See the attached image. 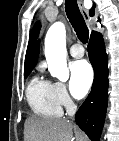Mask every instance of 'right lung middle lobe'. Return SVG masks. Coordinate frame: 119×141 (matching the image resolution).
I'll return each instance as SVG.
<instances>
[{"label":"right lung middle lobe","instance_id":"obj_1","mask_svg":"<svg viewBox=\"0 0 119 141\" xmlns=\"http://www.w3.org/2000/svg\"><path fill=\"white\" fill-rule=\"evenodd\" d=\"M31 71H25L24 76L27 77L30 74Z\"/></svg>","mask_w":119,"mask_h":141}]
</instances>
